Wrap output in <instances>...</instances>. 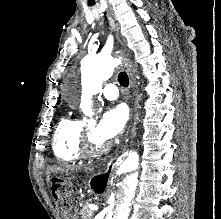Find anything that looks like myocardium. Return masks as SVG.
Masks as SVG:
<instances>
[{
  "mask_svg": "<svg viewBox=\"0 0 221 219\" xmlns=\"http://www.w3.org/2000/svg\"><path fill=\"white\" fill-rule=\"evenodd\" d=\"M107 149V144L103 141H96L93 138L92 130L90 127L85 128L82 138L81 152L85 157H95L103 154Z\"/></svg>",
  "mask_w": 221,
  "mask_h": 219,
  "instance_id": "obj_1",
  "label": "myocardium"
}]
</instances>
